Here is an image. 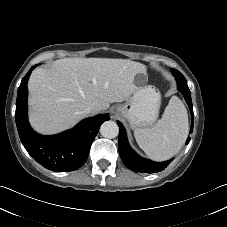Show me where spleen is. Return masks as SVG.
<instances>
[{
	"instance_id": "1",
	"label": "spleen",
	"mask_w": 227,
	"mask_h": 227,
	"mask_svg": "<svg viewBox=\"0 0 227 227\" xmlns=\"http://www.w3.org/2000/svg\"><path fill=\"white\" fill-rule=\"evenodd\" d=\"M188 115L182 101L171 97L162 118L152 128L134 131L139 147L153 160L163 161L179 152L188 136Z\"/></svg>"
}]
</instances>
